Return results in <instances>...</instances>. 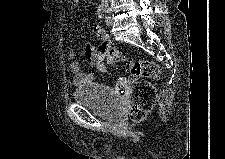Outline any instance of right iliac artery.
Returning <instances> with one entry per match:
<instances>
[{
	"mask_svg": "<svg viewBox=\"0 0 225 159\" xmlns=\"http://www.w3.org/2000/svg\"><path fill=\"white\" fill-rule=\"evenodd\" d=\"M105 13H106V7H104V6H99L98 9H97V15H98V18H99V19H103Z\"/></svg>",
	"mask_w": 225,
	"mask_h": 159,
	"instance_id": "right-iliac-artery-1",
	"label": "right iliac artery"
}]
</instances>
